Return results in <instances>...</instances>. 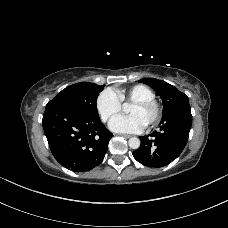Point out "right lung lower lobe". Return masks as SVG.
I'll return each mask as SVG.
<instances>
[{"label":"right lung lower lobe","instance_id":"98d812e1","mask_svg":"<svg viewBox=\"0 0 228 228\" xmlns=\"http://www.w3.org/2000/svg\"><path fill=\"white\" fill-rule=\"evenodd\" d=\"M42 123L53 156L74 172L98 166L113 136L99 116L62 104H47Z\"/></svg>","mask_w":228,"mask_h":228}]
</instances>
